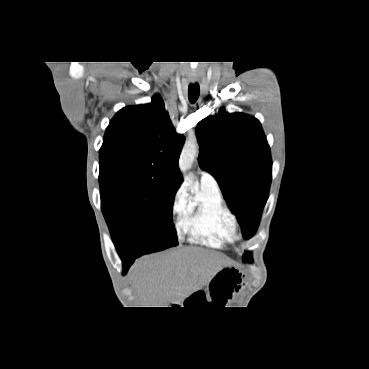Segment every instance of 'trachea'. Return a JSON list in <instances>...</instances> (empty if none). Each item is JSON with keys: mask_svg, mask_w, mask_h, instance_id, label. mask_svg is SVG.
<instances>
[{"mask_svg": "<svg viewBox=\"0 0 369 369\" xmlns=\"http://www.w3.org/2000/svg\"><path fill=\"white\" fill-rule=\"evenodd\" d=\"M200 94V87L199 84L195 83V84H190L188 87V96H189V101L191 103H195L199 97Z\"/></svg>", "mask_w": 369, "mask_h": 369, "instance_id": "obj_1", "label": "trachea"}]
</instances>
